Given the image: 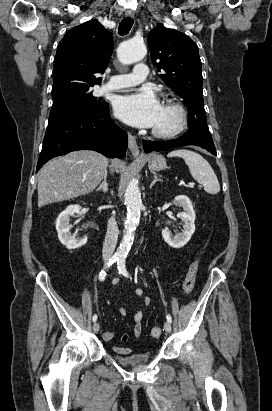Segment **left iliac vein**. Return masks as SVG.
<instances>
[{
	"label": "left iliac vein",
	"instance_id": "4c4485c4",
	"mask_svg": "<svg viewBox=\"0 0 272 411\" xmlns=\"http://www.w3.org/2000/svg\"><path fill=\"white\" fill-rule=\"evenodd\" d=\"M164 330L167 332V333H171V331H172V326H171V324H170V322H165L164 323Z\"/></svg>",
	"mask_w": 272,
	"mask_h": 411
}]
</instances>
